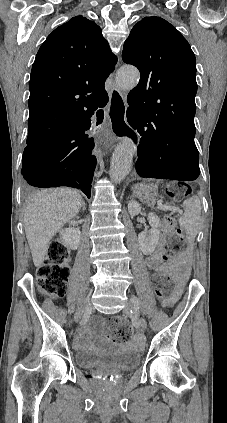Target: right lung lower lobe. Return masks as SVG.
<instances>
[{
    "instance_id": "98d812e1",
    "label": "right lung lower lobe",
    "mask_w": 227,
    "mask_h": 423,
    "mask_svg": "<svg viewBox=\"0 0 227 423\" xmlns=\"http://www.w3.org/2000/svg\"><path fill=\"white\" fill-rule=\"evenodd\" d=\"M91 104L43 105L29 108V120L67 118L71 125L36 145L26 146L21 173L28 184L41 187L68 186L80 189L88 198L96 166L93 138L85 131L98 107Z\"/></svg>"
}]
</instances>
